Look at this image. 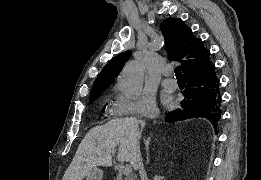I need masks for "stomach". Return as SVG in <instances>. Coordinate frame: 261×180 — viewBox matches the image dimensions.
<instances>
[{
  "label": "stomach",
  "mask_w": 261,
  "mask_h": 180,
  "mask_svg": "<svg viewBox=\"0 0 261 180\" xmlns=\"http://www.w3.org/2000/svg\"><path fill=\"white\" fill-rule=\"evenodd\" d=\"M103 179V171L99 168H93L86 175V180H102Z\"/></svg>",
  "instance_id": "0dacf381"
}]
</instances>
